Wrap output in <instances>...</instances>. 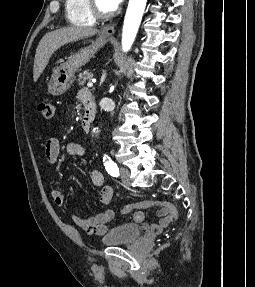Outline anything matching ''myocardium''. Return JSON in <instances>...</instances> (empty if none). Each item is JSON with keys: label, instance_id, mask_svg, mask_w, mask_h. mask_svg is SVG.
<instances>
[{"label": "myocardium", "instance_id": "obj_1", "mask_svg": "<svg viewBox=\"0 0 255 287\" xmlns=\"http://www.w3.org/2000/svg\"><path fill=\"white\" fill-rule=\"evenodd\" d=\"M97 33H120V32H97ZM97 39H116V38H97ZM97 48H104V47H97ZM105 48H111V47H105ZM128 48H136V47H128Z\"/></svg>", "mask_w": 255, "mask_h": 287}]
</instances>
